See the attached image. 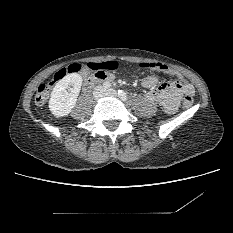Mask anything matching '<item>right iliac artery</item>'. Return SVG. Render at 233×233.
I'll list each match as a JSON object with an SVG mask.
<instances>
[{"mask_svg": "<svg viewBox=\"0 0 233 233\" xmlns=\"http://www.w3.org/2000/svg\"><path fill=\"white\" fill-rule=\"evenodd\" d=\"M103 87H104L105 89H108V88L111 87V84H110L109 82H105V83L103 84Z\"/></svg>", "mask_w": 233, "mask_h": 233, "instance_id": "right-iliac-artery-1", "label": "right iliac artery"}]
</instances>
